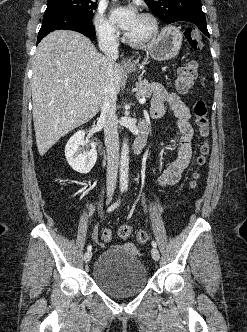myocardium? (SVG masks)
Here are the masks:
<instances>
[{"label": "myocardium", "mask_w": 247, "mask_h": 332, "mask_svg": "<svg viewBox=\"0 0 247 332\" xmlns=\"http://www.w3.org/2000/svg\"><path fill=\"white\" fill-rule=\"evenodd\" d=\"M141 17L146 19L150 23V29L147 34L140 38H132L128 34H125L124 40L131 46L140 47L149 43L159 32V23L156 17L148 12H143L140 14Z\"/></svg>", "instance_id": "myocardium-1"}]
</instances>
